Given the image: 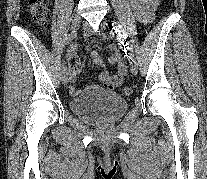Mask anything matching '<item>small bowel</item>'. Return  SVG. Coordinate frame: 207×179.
Masks as SVG:
<instances>
[{
  "mask_svg": "<svg viewBox=\"0 0 207 179\" xmlns=\"http://www.w3.org/2000/svg\"><path fill=\"white\" fill-rule=\"evenodd\" d=\"M127 2L130 9L141 22L150 23L159 0H128ZM108 49L114 51L109 58V63L115 67V72L111 75L107 71H102L99 73L98 78L105 89L113 90L123 82V79L127 74V67L124 62V55L116 50L117 46L115 44L109 45ZM91 56L96 66L100 68L105 67L104 60L95 50L91 51ZM69 67L71 71L69 77L71 82H74L76 80V73L80 69L79 60L76 57H73ZM72 91L77 92L78 90L72 88Z\"/></svg>",
  "mask_w": 207,
  "mask_h": 179,
  "instance_id": "c3829d8e",
  "label": "small bowel"
}]
</instances>
